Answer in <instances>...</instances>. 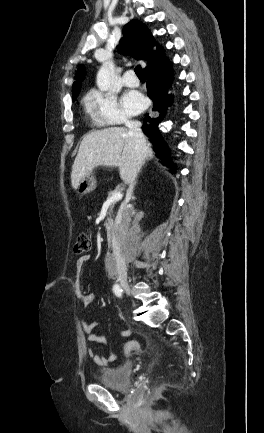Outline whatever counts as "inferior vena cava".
Segmentation results:
<instances>
[{
    "label": "inferior vena cava",
    "mask_w": 264,
    "mask_h": 433,
    "mask_svg": "<svg viewBox=\"0 0 264 433\" xmlns=\"http://www.w3.org/2000/svg\"><path fill=\"white\" fill-rule=\"evenodd\" d=\"M125 125L128 127L129 129V133L134 137L135 140V150L137 153V171H139L140 167L142 166L145 158H146V149H147V143H146V138L142 132L141 129V122L139 121H129L126 120L125 121ZM137 174L135 173L133 175V177L130 179L129 181V188L127 191V195H126V200L123 203L120 213H119V221L120 224H122L123 222V209L124 207H127V202L131 199L132 196V192L134 189V185H135V178H136ZM121 228L122 225H121ZM119 236V241L117 242V245L119 246L117 252H116V268H117V273L119 278H124L126 279L127 277V268H126V264L124 261V253L120 248V245L122 242L124 241V238L127 236V233L124 230H120V232L118 233Z\"/></svg>",
    "instance_id": "obj_1"
}]
</instances>
